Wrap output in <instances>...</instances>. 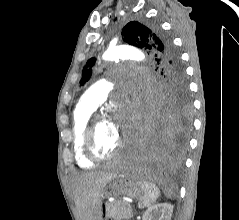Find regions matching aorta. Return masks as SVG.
<instances>
[{"label":"aorta","instance_id":"obj_1","mask_svg":"<svg viewBox=\"0 0 239 220\" xmlns=\"http://www.w3.org/2000/svg\"><path fill=\"white\" fill-rule=\"evenodd\" d=\"M144 55L140 48H123L122 45H114L109 47L103 54L104 60L113 61L122 58V61H136ZM138 56V57H136ZM142 64V61H139Z\"/></svg>","mask_w":239,"mask_h":220}]
</instances>
